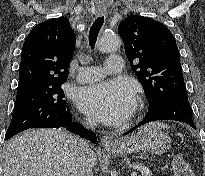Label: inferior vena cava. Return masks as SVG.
Wrapping results in <instances>:
<instances>
[{
	"instance_id": "inferior-vena-cava-1",
	"label": "inferior vena cava",
	"mask_w": 205,
	"mask_h": 176,
	"mask_svg": "<svg viewBox=\"0 0 205 176\" xmlns=\"http://www.w3.org/2000/svg\"><path fill=\"white\" fill-rule=\"evenodd\" d=\"M86 125L90 128L94 127L96 123L94 121L88 120ZM74 147L77 155V165L78 171L76 176H93L92 166L90 164L89 156L92 153L89 141L75 138Z\"/></svg>"
}]
</instances>
